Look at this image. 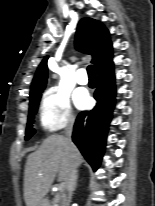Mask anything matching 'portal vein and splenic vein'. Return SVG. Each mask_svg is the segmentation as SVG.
Segmentation results:
<instances>
[{"instance_id": "18ae733b", "label": "portal vein and splenic vein", "mask_w": 155, "mask_h": 206, "mask_svg": "<svg viewBox=\"0 0 155 206\" xmlns=\"http://www.w3.org/2000/svg\"><path fill=\"white\" fill-rule=\"evenodd\" d=\"M64 188V185H63V183L60 185V189H63Z\"/></svg>"}]
</instances>
